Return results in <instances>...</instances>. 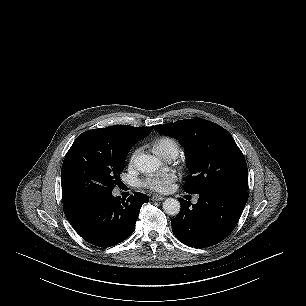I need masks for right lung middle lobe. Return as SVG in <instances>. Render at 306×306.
I'll list each match as a JSON object with an SVG mask.
<instances>
[{"mask_svg":"<svg viewBox=\"0 0 306 306\" xmlns=\"http://www.w3.org/2000/svg\"><path fill=\"white\" fill-rule=\"evenodd\" d=\"M132 146L103 137H78L62 165L63 204L111 193L120 181V172Z\"/></svg>","mask_w":306,"mask_h":306,"instance_id":"obj_1","label":"right lung middle lobe"}]
</instances>
